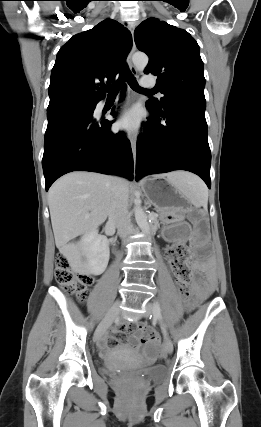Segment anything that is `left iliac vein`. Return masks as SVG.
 Wrapping results in <instances>:
<instances>
[{"instance_id":"1","label":"left iliac vein","mask_w":261,"mask_h":427,"mask_svg":"<svg viewBox=\"0 0 261 427\" xmlns=\"http://www.w3.org/2000/svg\"><path fill=\"white\" fill-rule=\"evenodd\" d=\"M154 313H153V304L152 303H150V302H148L146 305H145V316L148 318V317H150L151 315H153ZM164 348H165V351L167 352V353H172V351H173V344H172V341H171V339L168 337V335H164Z\"/></svg>"}]
</instances>
